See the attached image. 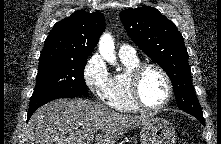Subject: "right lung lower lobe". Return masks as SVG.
<instances>
[{"label":"right lung lower lobe","mask_w":221,"mask_h":144,"mask_svg":"<svg viewBox=\"0 0 221 144\" xmlns=\"http://www.w3.org/2000/svg\"><path fill=\"white\" fill-rule=\"evenodd\" d=\"M78 96H80V95L66 94V95H62V96L56 97V98H54V99H58V98H74V97H78ZM54 99H52V100H54ZM52 100H51V101H52ZM35 110H36V109H34V110H29V111H28L27 120H29V118H30L31 115L35 112Z\"/></svg>","instance_id":"right-lung-lower-lobe-1"}]
</instances>
